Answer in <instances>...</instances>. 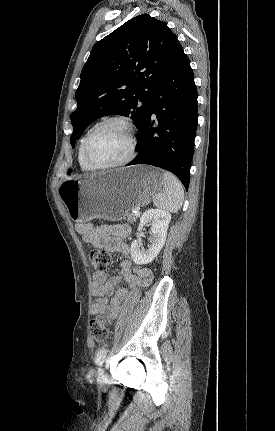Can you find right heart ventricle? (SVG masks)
Masks as SVG:
<instances>
[{
	"label": "right heart ventricle",
	"mask_w": 275,
	"mask_h": 431,
	"mask_svg": "<svg viewBox=\"0 0 275 431\" xmlns=\"http://www.w3.org/2000/svg\"><path fill=\"white\" fill-rule=\"evenodd\" d=\"M82 143H83V140H82V142H81V144L79 146L78 161H79V164H80V167L82 168V170L89 171V170H92V169L85 163V161L83 159V155H82Z\"/></svg>",
	"instance_id": "1"
}]
</instances>
